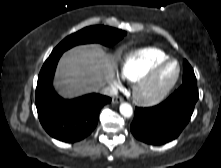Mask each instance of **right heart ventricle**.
Here are the masks:
<instances>
[{
	"instance_id": "obj_1",
	"label": "right heart ventricle",
	"mask_w": 221,
	"mask_h": 168,
	"mask_svg": "<svg viewBox=\"0 0 221 168\" xmlns=\"http://www.w3.org/2000/svg\"><path fill=\"white\" fill-rule=\"evenodd\" d=\"M168 58L167 53L158 48L136 50L125 57L121 65L122 76L129 81H138L156 64Z\"/></svg>"
}]
</instances>
